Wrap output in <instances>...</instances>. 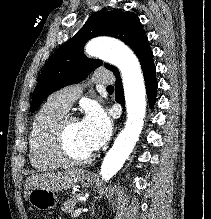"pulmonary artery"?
<instances>
[{"instance_id": "1", "label": "pulmonary artery", "mask_w": 211, "mask_h": 219, "mask_svg": "<svg viewBox=\"0 0 211 219\" xmlns=\"http://www.w3.org/2000/svg\"><path fill=\"white\" fill-rule=\"evenodd\" d=\"M92 80L99 84H110L113 83L114 77L110 72L100 70L93 75ZM80 93L81 87L79 85H71L56 92L50 99L63 108L68 109L79 97Z\"/></svg>"}]
</instances>
